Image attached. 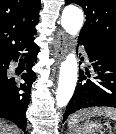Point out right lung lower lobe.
I'll return each mask as SVG.
<instances>
[{"mask_svg":"<svg viewBox=\"0 0 116 134\" xmlns=\"http://www.w3.org/2000/svg\"><path fill=\"white\" fill-rule=\"evenodd\" d=\"M25 48L30 51L27 54L29 58L27 71L21 77L25 83L17 86L14 78H8L7 81L0 83V118L15 123L22 131L26 129V109L30 101L32 83L36 79V74L31 70V67L32 63L37 60L39 52V47L34 42ZM19 56V52L12 55L6 61L7 67L12 59L17 61Z\"/></svg>","mask_w":116,"mask_h":134,"instance_id":"obj_1","label":"right lung lower lobe"}]
</instances>
